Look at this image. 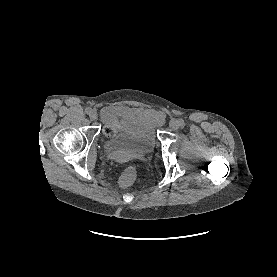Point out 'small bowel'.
I'll use <instances>...</instances> for the list:
<instances>
[{
    "instance_id": "obj_1",
    "label": "small bowel",
    "mask_w": 277,
    "mask_h": 277,
    "mask_svg": "<svg viewBox=\"0 0 277 277\" xmlns=\"http://www.w3.org/2000/svg\"><path fill=\"white\" fill-rule=\"evenodd\" d=\"M152 114H153L154 116H157V117L160 116V114L156 113L155 111H153ZM150 115H151V114H150Z\"/></svg>"
}]
</instances>
